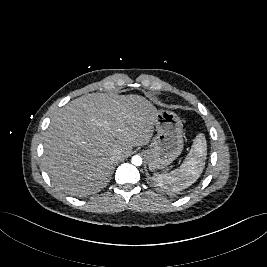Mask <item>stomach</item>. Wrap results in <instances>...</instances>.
I'll use <instances>...</instances> for the list:
<instances>
[{
  "mask_svg": "<svg viewBox=\"0 0 267 267\" xmlns=\"http://www.w3.org/2000/svg\"><path fill=\"white\" fill-rule=\"evenodd\" d=\"M157 135L152 148L145 151L149 169H164L171 164L183 150V124L172 111L157 110L154 119Z\"/></svg>",
  "mask_w": 267,
  "mask_h": 267,
  "instance_id": "obj_1",
  "label": "stomach"
}]
</instances>
